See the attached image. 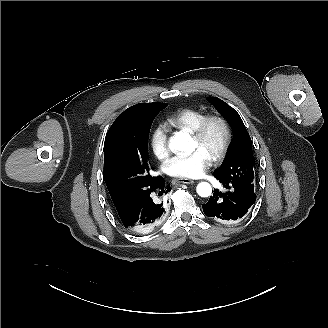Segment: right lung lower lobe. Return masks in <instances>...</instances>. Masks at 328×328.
Segmentation results:
<instances>
[{
	"label": "right lung lower lobe",
	"instance_id": "1",
	"mask_svg": "<svg viewBox=\"0 0 328 328\" xmlns=\"http://www.w3.org/2000/svg\"><path fill=\"white\" fill-rule=\"evenodd\" d=\"M170 191V185L159 177L154 189L132 206L126 218H121L124 227L139 234L150 232L163 219L167 204L162 196Z\"/></svg>",
	"mask_w": 328,
	"mask_h": 328
}]
</instances>
